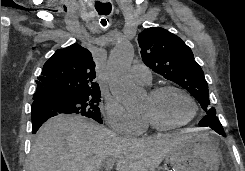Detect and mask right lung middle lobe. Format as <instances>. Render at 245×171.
Instances as JSON below:
<instances>
[{
	"instance_id": "1",
	"label": "right lung middle lobe",
	"mask_w": 245,
	"mask_h": 171,
	"mask_svg": "<svg viewBox=\"0 0 245 171\" xmlns=\"http://www.w3.org/2000/svg\"><path fill=\"white\" fill-rule=\"evenodd\" d=\"M100 98V93L73 96L53 95L46 97L45 101L66 114L77 113L102 123L100 109L98 107Z\"/></svg>"
}]
</instances>
